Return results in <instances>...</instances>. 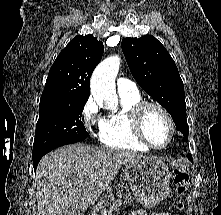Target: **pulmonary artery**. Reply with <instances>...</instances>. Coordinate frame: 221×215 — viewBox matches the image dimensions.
<instances>
[{
	"label": "pulmonary artery",
	"mask_w": 221,
	"mask_h": 215,
	"mask_svg": "<svg viewBox=\"0 0 221 215\" xmlns=\"http://www.w3.org/2000/svg\"><path fill=\"white\" fill-rule=\"evenodd\" d=\"M117 90L119 93H134L138 91L134 82L123 77L117 80Z\"/></svg>",
	"instance_id": "1"
}]
</instances>
